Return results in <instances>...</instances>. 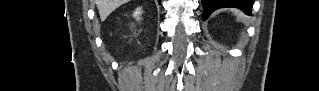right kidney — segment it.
I'll return each mask as SVG.
<instances>
[{
  "label": "right kidney",
  "mask_w": 319,
  "mask_h": 91,
  "mask_svg": "<svg viewBox=\"0 0 319 91\" xmlns=\"http://www.w3.org/2000/svg\"><path fill=\"white\" fill-rule=\"evenodd\" d=\"M142 14V10L141 8H137L134 13H133V16L137 19V20H140V15Z\"/></svg>",
  "instance_id": "right-kidney-1"
}]
</instances>
